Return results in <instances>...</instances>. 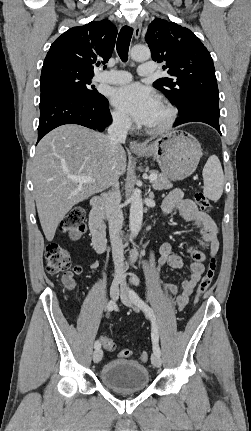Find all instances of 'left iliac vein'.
<instances>
[{
	"mask_svg": "<svg viewBox=\"0 0 251 431\" xmlns=\"http://www.w3.org/2000/svg\"><path fill=\"white\" fill-rule=\"evenodd\" d=\"M120 298H121V301L123 302V304H125L126 306L134 307V302L132 299L131 291L122 290V292L120 294ZM151 362H152L153 366L157 367V368L160 367L162 364V360H161L160 356L156 353L152 354Z\"/></svg>",
	"mask_w": 251,
	"mask_h": 431,
	"instance_id": "1",
	"label": "left iliac vein"
}]
</instances>
